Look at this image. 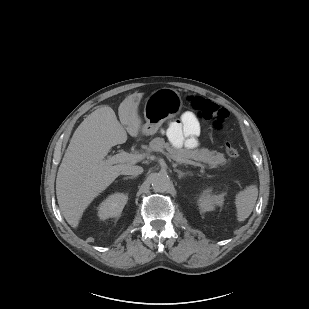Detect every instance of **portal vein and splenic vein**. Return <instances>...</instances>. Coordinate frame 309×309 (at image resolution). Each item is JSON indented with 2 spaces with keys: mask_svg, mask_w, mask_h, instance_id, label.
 Masks as SVG:
<instances>
[{
  "mask_svg": "<svg viewBox=\"0 0 309 309\" xmlns=\"http://www.w3.org/2000/svg\"><path fill=\"white\" fill-rule=\"evenodd\" d=\"M143 154H132L125 151H122L114 156L108 157L104 162L108 165H113L117 163H124V162H138L143 159ZM196 166L201 168H206L207 166L201 163H196Z\"/></svg>",
  "mask_w": 309,
  "mask_h": 309,
  "instance_id": "18ae733b",
  "label": "portal vein and splenic vein"
}]
</instances>
